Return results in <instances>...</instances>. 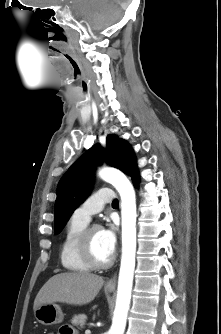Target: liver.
I'll list each match as a JSON object with an SVG mask.
<instances>
[{"label":"liver","instance_id":"liver-1","mask_svg":"<svg viewBox=\"0 0 221 334\" xmlns=\"http://www.w3.org/2000/svg\"><path fill=\"white\" fill-rule=\"evenodd\" d=\"M103 284V277L92 273L68 272L54 275L38 292L33 309L54 302L88 304L94 300Z\"/></svg>","mask_w":221,"mask_h":334}]
</instances>
